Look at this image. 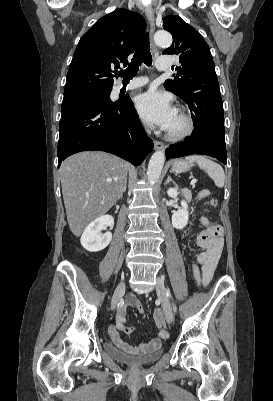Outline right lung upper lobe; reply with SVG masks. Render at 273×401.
I'll use <instances>...</instances> for the list:
<instances>
[{
  "instance_id": "1",
  "label": "right lung upper lobe",
  "mask_w": 273,
  "mask_h": 401,
  "mask_svg": "<svg viewBox=\"0 0 273 401\" xmlns=\"http://www.w3.org/2000/svg\"><path fill=\"white\" fill-rule=\"evenodd\" d=\"M146 28L135 12L117 9L99 19L80 39L71 61L64 96L112 90V69L127 65Z\"/></svg>"
}]
</instances>
